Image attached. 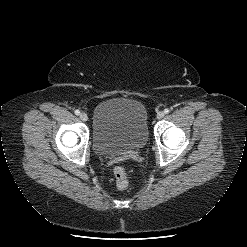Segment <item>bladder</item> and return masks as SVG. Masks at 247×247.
Segmentation results:
<instances>
[{
  "label": "bladder",
  "instance_id": "obj_1",
  "mask_svg": "<svg viewBox=\"0 0 247 247\" xmlns=\"http://www.w3.org/2000/svg\"><path fill=\"white\" fill-rule=\"evenodd\" d=\"M148 113L132 98H110L93 112L92 144L104 156H125L142 149L148 141Z\"/></svg>",
  "mask_w": 247,
  "mask_h": 247
}]
</instances>
